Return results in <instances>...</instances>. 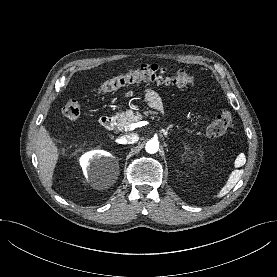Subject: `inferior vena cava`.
Here are the masks:
<instances>
[{
    "instance_id": "602c4592",
    "label": "inferior vena cava",
    "mask_w": 277,
    "mask_h": 277,
    "mask_svg": "<svg viewBox=\"0 0 277 277\" xmlns=\"http://www.w3.org/2000/svg\"><path fill=\"white\" fill-rule=\"evenodd\" d=\"M138 140H139V137L135 133L124 135L119 138V142L121 144H133V143H136Z\"/></svg>"
}]
</instances>
